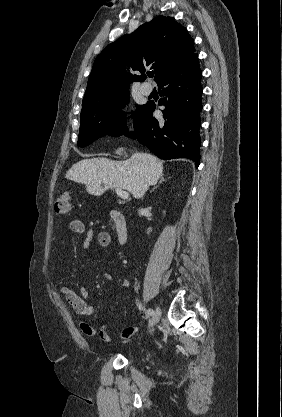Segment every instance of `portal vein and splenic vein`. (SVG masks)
Listing matches in <instances>:
<instances>
[{"instance_id": "obj_1", "label": "portal vein and splenic vein", "mask_w": 282, "mask_h": 417, "mask_svg": "<svg viewBox=\"0 0 282 417\" xmlns=\"http://www.w3.org/2000/svg\"><path fill=\"white\" fill-rule=\"evenodd\" d=\"M115 192H117L118 196H121V198H129V192L127 190H122V188H115Z\"/></svg>"}]
</instances>
